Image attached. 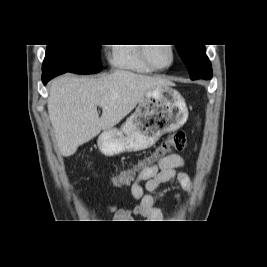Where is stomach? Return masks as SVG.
I'll return each instance as SVG.
<instances>
[{"label":"stomach","mask_w":267,"mask_h":267,"mask_svg":"<svg viewBox=\"0 0 267 267\" xmlns=\"http://www.w3.org/2000/svg\"><path fill=\"white\" fill-rule=\"evenodd\" d=\"M188 118L183 97L169 86L149 90L121 128L104 130L98 147L106 156L136 152L154 145L159 138L179 129Z\"/></svg>","instance_id":"1"}]
</instances>
